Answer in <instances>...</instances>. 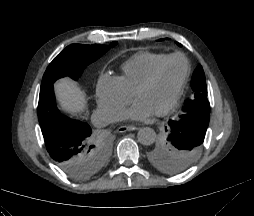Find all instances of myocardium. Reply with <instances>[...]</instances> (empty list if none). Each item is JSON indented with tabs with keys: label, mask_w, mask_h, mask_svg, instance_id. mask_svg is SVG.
I'll list each match as a JSON object with an SVG mask.
<instances>
[{
	"label": "myocardium",
	"mask_w": 254,
	"mask_h": 216,
	"mask_svg": "<svg viewBox=\"0 0 254 216\" xmlns=\"http://www.w3.org/2000/svg\"><path fill=\"white\" fill-rule=\"evenodd\" d=\"M174 58H179V59H182L183 62L185 63V71H184V75L182 77V80L174 94V96L172 97L171 101L161 110L155 112V114L157 116H163L167 113H169L177 104L183 90H184V87L187 83V80H188V77H189V74H190V70H191V65H190V62L188 60V58L182 54V53H173V54H169L167 56H165L162 60H160L154 67L153 69L151 70V72L149 73V75L147 76V78L137 87V89L135 90L134 92V97L137 98V95L144 89L148 88L150 85H152L162 66L169 60L171 59H174Z\"/></svg>",
	"instance_id": "myocardium-1"
}]
</instances>
